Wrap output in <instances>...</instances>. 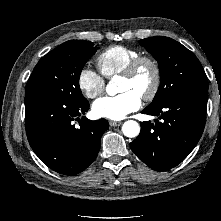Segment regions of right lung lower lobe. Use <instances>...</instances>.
Instances as JSON below:
<instances>
[{"instance_id":"obj_1","label":"right lung lower lobe","mask_w":221,"mask_h":221,"mask_svg":"<svg viewBox=\"0 0 221 221\" xmlns=\"http://www.w3.org/2000/svg\"><path fill=\"white\" fill-rule=\"evenodd\" d=\"M89 102L74 105L38 93L25 94V127L29 144L41 161L63 175L85 170L97 157L102 134L109 128L106 119L82 117ZM79 119L80 127L73 121Z\"/></svg>"}]
</instances>
